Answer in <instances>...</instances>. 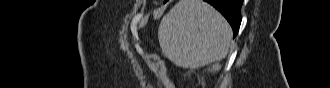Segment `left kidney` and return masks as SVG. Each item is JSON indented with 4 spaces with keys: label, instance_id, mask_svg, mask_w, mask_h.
Listing matches in <instances>:
<instances>
[{
    "label": "left kidney",
    "instance_id": "left-kidney-1",
    "mask_svg": "<svg viewBox=\"0 0 330 88\" xmlns=\"http://www.w3.org/2000/svg\"><path fill=\"white\" fill-rule=\"evenodd\" d=\"M221 69V65L219 63L213 64L211 67H209V71L212 73H215Z\"/></svg>",
    "mask_w": 330,
    "mask_h": 88
}]
</instances>
